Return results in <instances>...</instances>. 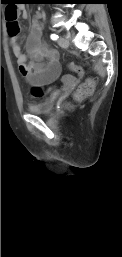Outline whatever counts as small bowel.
<instances>
[{
  "instance_id": "obj_1",
  "label": "small bowel",
  "mask_w": 122,
  "mask_h": 257,
  "mask_svg": "<svg viewBox=\"0 0 122 257\" xmlns=\"http://www.w3.org/2000/svg\"><path fill=\"white\" fill-rule=\"evenodd\" d=\"M28 17L24 6L18 7L17 14ZM42 23L40 15H35L27 38V50L31 56L28 61L19 44V36H10V46L16 58L20 73L31 85H46L54 82L61 73L58 52L49 48L41 41ZM49 98L50 89H47Z\"/></svg>"
}]
</instances>
